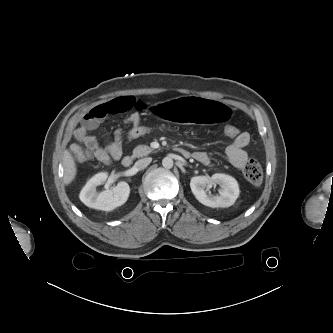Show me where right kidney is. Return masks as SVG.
Here are the masks:
<instances>
[{"label":"right kidney","instance_id":"obj_1","mask_svg":"<svg viewBox=\"0 0 333 333\" xmlns=\"http://www.w3.org/2000/svg\"><path fill=\"white\" fill-rule=\"evenodd\" d=\"M107 178V172H100L83 187L79 198L87 207L111 211L128 200L130 187L126 182H119L113 189L108 188L100 193L96 191V187L105 183Z\"/></svg>","mask_w":333,"mask_h":333}]
</instances>
